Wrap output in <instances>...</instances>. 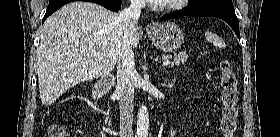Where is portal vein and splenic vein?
Listing matches in <instances>:
<instances>
[{"mask_svg":"<svg viewBox=\"0 0 280 137\" xmlns=\"http://www.w3.org/2000/svg\"><path fill=\"white\" fill-rule=\"evenodd\" d=\"M170 64V61H168V60H166L165 62H163V65L164 66H167V65H169Z\"/></svg>","mask_w":280,"mask_h":137,"instance_id":"18ae733b","label":"portal vein and splenic vein"}]
</instances>
